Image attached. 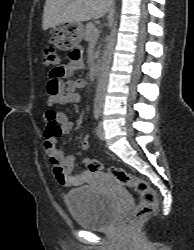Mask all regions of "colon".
Wrapping results in <instances>:
<instances>
[{"label": "colon", "mask_w": 194, "mask_h": 250, "mask_svg": "<svg viewBox=\"0 0 194 250\" xmlns=\"http://www.w3.org/2000/svg\"><path fill=\"white\" fill-rule=\"evenodd\" d=\"M70 59L73 61L79 60V51L73 50L70 54ZM42 64L46 67L54 68L55 70L61 68V57L56 48L53 46H46L43 49ZM54 74L61 75V72L56 71ZM81 146L84 150L89 148L87 138L82 139ZM85 164L91 173H104L116 183L130 187L138 193L140 202L133 213L129 216L128 223L132 224L138 222L139 220L155 213L157 208L156 193L145 180L120 167H105L103 163L94 159H86Z\"/></svg>", "instance_id": "obj_1"}]
</instances>
